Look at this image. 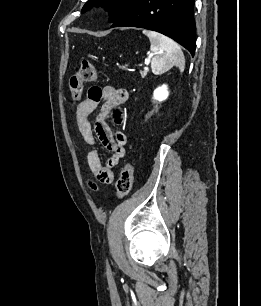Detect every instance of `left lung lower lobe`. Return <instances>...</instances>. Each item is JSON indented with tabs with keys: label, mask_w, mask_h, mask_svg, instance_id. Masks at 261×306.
Returning <instances> with one entry per match:
<instances>
[{
	"label": "left lung lower lobe",
	"mask_w": 261,
	"mask_h": 306,
	"mask_svg": "<svg viewBox=\"0 0 261 306\" xmlns=\"http://www.w3.org/2000/svg\"><path fill=\"white\" fill-rule=\"evenodd\" d=\"M195 0H134L111 27H139L160 32L184 46L192 56L196 48L193 16Z\"/></svg>",
	"instance_id": "0a47b994"
}]
</instances>
